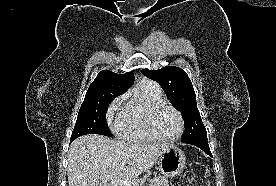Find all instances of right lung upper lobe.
<instances>
[{
	"instance_id": "1",
	"label": "right lung upper lobe",
	"mask_w": 276,
	"mask_h": 186,
	"mask_svg": "<svg viewBox=\"0 0 276 186\" xmlns=\"http://www.w3.org/2000/svg\"><path fill=\"white\" fill-rule=\"evenodd\" d=\"M134 82V74H115L110 70L101 71L91 83L87 92H115L123 94Z\"/></svg>"
}]
</instances>
